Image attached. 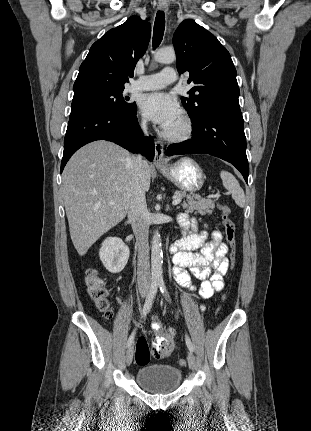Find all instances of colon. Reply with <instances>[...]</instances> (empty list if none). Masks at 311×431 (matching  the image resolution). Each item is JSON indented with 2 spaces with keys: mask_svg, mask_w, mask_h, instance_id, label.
Returning <instances> with one entry per match:
<instances>
[{
  "mask_svg": "<svg viewBox=\"0 0 311 431\" xmlns=\"http://www.w3.org/2000/svg\"><path fill=\"white\" fill-rule=\"evenodd\" d=\"M221 213L222 225L224 229V236L229 251V266L233 269L237 262V247H236V226L231 218V208L225 203H221L218 206ZM85 285L89 297L94 302L96 308L107 318L112 317V309L110 302L107 298L105 288L99 273L95 269H88L85 273ZM175 345L172 341L164 338L157 337L151 346V352L156 358H167L173 354ZM150 348L147 340L144 337H140L136 344L135 361L137 365L143 366L149 363L150 360ZM180 366L186 365L185 359L178 361Z\"/></svg>",
  "mask_w": 311,
  "mask_h": 431,
  "instance_id": "obj_1",
  "label": "colon"
}]
</instances>
